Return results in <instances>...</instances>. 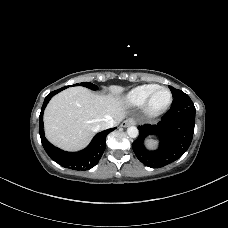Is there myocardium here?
Returning a JSON list of instances; mask_svg holds the SVG:
<instances>
[{
	"label": "myocardium",
	"instance_id": "1",
	"mask_svg": "<svg viewBox=\"0 0 228 228\" xmlns=\"http://www.w3.org/2000/svg\"><path fill=\"white\" fill-rule=\"evenodd\" d=\"M159 90H166L169 93L170 98H169L168 103L164 107L155 110L151 107V103H152V100H153L155 94ZM172 102H173V96H172V92L170 91V89L165 86H158L147 97V99L145 100V102L142 105V109H143V112L146 117L156 118V117L164 114L170 108V106L172 105Z\"/></svg>",
	"mask_w": 228,
	"mask_h": 228
}]
</instances>
